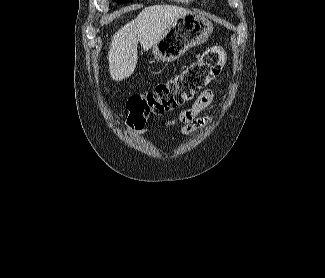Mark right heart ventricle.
<instances>
[{"label": "right heart ventricle", "instance_id": "e07e8e85", "mask_svg": "<svg viewBox=\"0 0 325 278\" xmlns=\"http://www.w3.org/2000/svg\"><path fill=\"white\" fill-rule=\"evenodd\" d=\"M178 3H182V4H192L194 2H196L197 0H174Z\"/></svg>", "mask_w": 325, "mask_h": 278}]
</instances>
